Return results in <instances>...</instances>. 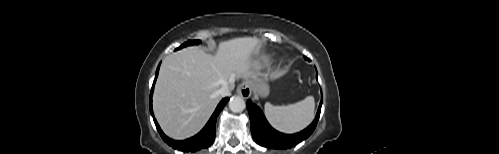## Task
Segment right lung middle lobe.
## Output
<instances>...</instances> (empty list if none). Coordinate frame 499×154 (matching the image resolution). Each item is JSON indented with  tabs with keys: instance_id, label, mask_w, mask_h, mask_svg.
Wrapping results in <instances>:
<instances>
[{
	"instance_id": "right-lung-middle-lobe-1",
	"label": "right lung middle lobe",
	"mask_w": 499,
	"mask_h": 154,
	"mask_svg": "<svg viewBox=\"0 0 499 154\" xmlns=\"http://www.w3.org/2000/svg\"><path fill=\"white\" fill-rule=\"evenodd\" d=\"M200 43H201L200 40H189V41L185 42L184 44H182L180 47H178L177 50L181 49L183 47L189 46V45H194V44L198 45Z\"/></svg>"
}]
</instances>
